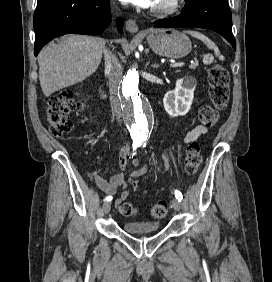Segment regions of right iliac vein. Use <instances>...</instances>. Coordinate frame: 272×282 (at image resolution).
<instances>
[{
	"instance_id": "right-iliac-vein-1",
	"label": "right iliac vein",
	"mask_w": 272,
	"mask_h": 282,
	"mask_svg": "<svg viewBox=\"0 0 272 282\" xmlns=\"http://www.w3.org/2000/svg\"><path fill=\"white\" fill-rule=\"evenodd\" d=\"M102 209L105 214H108L111 209V202L109 201L105 202L102 206Z\"/></svg>"
}]
</instances>
